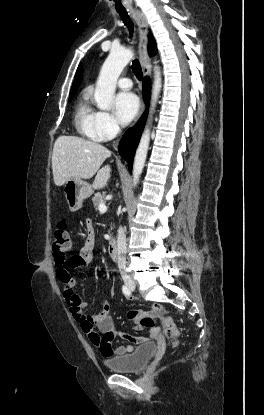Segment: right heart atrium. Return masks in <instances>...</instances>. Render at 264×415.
I'll use <instances>...</instances> for the list:
<instances>
[{"label":"right heart atrium","mask_w":264,"mask_h":415,"mask_svg":"<svg viewBox=\"0 0 264 415\" xmlns=\"http://www.w3.org/2000/svg\"><path fill=\"white\" fill-rule=\"evenodd\" d=\"M98 126L105 139L111 138L120 132V126L113 115L100 111L98 114Z\"/></svg>","instance_id":"obj_1"}]
</instances>
